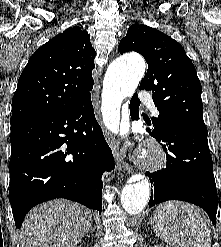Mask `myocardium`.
I'll use <instances>...</instances> for the list:
<instances>
[{
    "label": "myocardium",
    "instance_id": "myocardium-1",
    "mask_svg": "<svg viewBox=\"0 0 221 247\" xmlns=\"http://www.w3.org/2000/svg\"><path fill=\"white\" fill-rule=\"evenodd\" d=\"M137 162L147 170L156 171L164 168L168 162V154L158 143H148L140 152Z\"/></svg>",
    "mask_w": 221,
    "mask_h": 247
}]
</instances>
